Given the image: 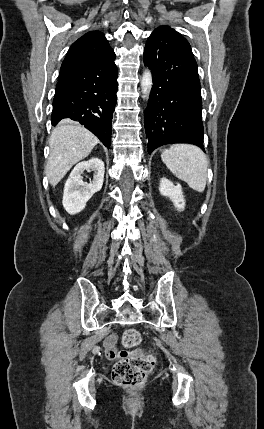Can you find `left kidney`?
<instances>
[{
	"label": "left kidney",
	"instance_id": "left-kidney-1",
	"mask_svg": "<svg viewBox=\"0 0 264 429\" xmlns=\"http://www.w3.org/2000/svg\"><path fill=\"white\" fill-rule=\"evenodd\" d=\"M159 191L161 195L170 198V200L173 202L175 208L178 211L184 210L185 200L182 188L179 184L175 186L170 180L162 178L160 180Z\"/></svg>",
	"mask_w": 264,
	"mask_h": 429
}]
</instances>
